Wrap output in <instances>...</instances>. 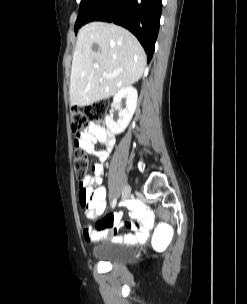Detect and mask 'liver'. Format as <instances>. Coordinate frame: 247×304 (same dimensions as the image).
Wrapping results in <instances>:
<instances>
[{"label": "liver", "instance_id": "1", "mask_svg": "<svg viewBox=\"0 0 247 304\" xmlns=\"http://www.w3.org/2000/svg\"><path fill=\"white\" fill-rule=\"evenodd\" d=\"M145 66V51L128 30L103 22L86 24L78 33L72 60L71 105L83 107L115 95L137 82Z\"/></svg>", "mask_w": 247, "mask_h": 304}]
</instances>
